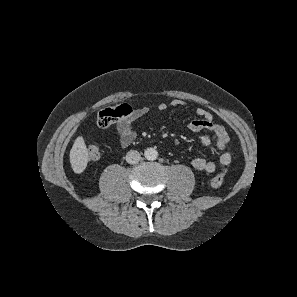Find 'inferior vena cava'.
<instances>
[{
    "mask_svg": "<svg viewBox=\"0 0 297 297\" xmlns=\"http://www.w3.org/2000/svg\"><path fill=\"white\" fill-rule=\"evenodd\" d=\"M141 159V155L138 151L136 150H130L127 154H126V161L129 164H135L137 162H139V160Z\"/></svg>",
    "mask_w": 297,
    "mask_h": 297,
    "instance_id": "inferior-vena-cava-1",
    "label": "inferior vena cava"
}]
</instances>
